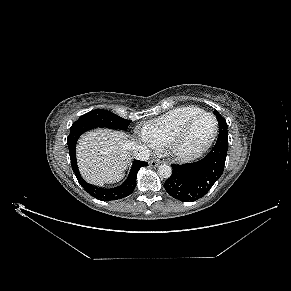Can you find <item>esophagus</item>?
I'll return each instance as SVG.
<instances>
[{"label":"esophagus","instance_id":"esophagus-1","mask_svg":"<svg viewBox=\"0 0 291 291\" xmlns=\"http://www.w3.org/2000/svg\"><path fill=\"white\" fill-rule=\"evenodd\" d=\"M159 164H160L159 160H151V161H149V165L151 167H157Z\"/></svg>","mask_w":291,"mask_h":291}]
</instances>
